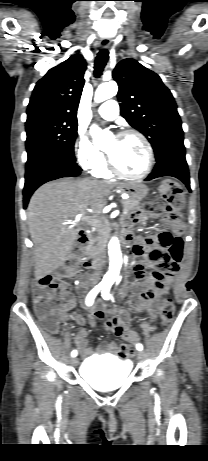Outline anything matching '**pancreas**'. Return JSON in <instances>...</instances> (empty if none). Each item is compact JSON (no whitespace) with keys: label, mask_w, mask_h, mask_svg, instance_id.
<instances>
[{"label":"pancreas","mask_w":208,"mask_h":461,"mask_svg":"<svg viewBox=\"0 0 208 461\" xmlns=\"http://www.w3.org/2000/svg\"><path fill=\"white\" fill-rule=\"evenodd\" d=\"M122 204H123L124 209H126L128 213H132L139 209L140 200L129 198L127 200H122ZM107 232H108V228L98 226L97 236L91 238L90 242L85 247L86 251L92 252V253L96 252V250L98 249L100 240Z\"/></svg>","instance_id":"pancreas-1"}]
</instances>
